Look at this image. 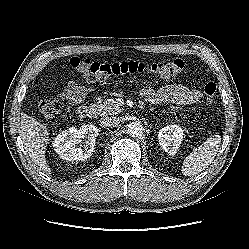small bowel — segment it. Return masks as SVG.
Returning a JSON list of instances; mask_svg holds the SVG:
<instances>
[{"mask_svg":"<svg viewBox=\"0 0 249 249\" xmlns=\"http://www.w3.org/2000/svg\"><path fill=\"white\" fill-rule=\"evenodd\" d=\"M91 91L92 88L71 81L65 85L63 91L60 93V98L71 105H76L81 103ZM141 95L145 100L152 103H168L180 106L195 104L202 97L200 91L189 89L182 84H170L157 90L151 87H144L141 90Z\"/></svg>","mask_w":249,"mask_h":249,"instance_id":"obj_1","label":"small bowel"}]
</instances>
